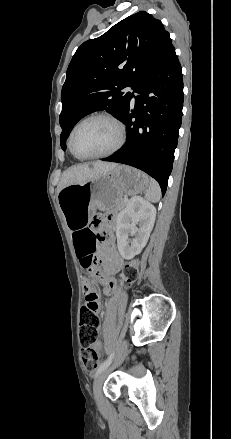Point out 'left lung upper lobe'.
Instances as JSON below:
<instances>
[{"mask_svg": "<svg viewBox=\"0 0 231 439\" xmlns=\"http://www.w3.org/2000/svg\"><path fill=\"white\" fill-rule=\"evenodd\" d=\"M160 20L145 11L135 13L96 39L84 42L74 54L61 92V147L74 125L94 111L106 110L120 120L138 81L171 47Z\"/></svg>", "mask_w": 231, "mask_h": 439, "instance_id": "5c2ea615", "label": "left lung upper lobe"}]
</instances>
